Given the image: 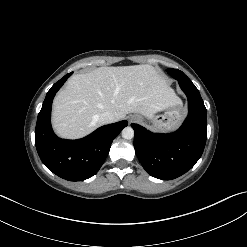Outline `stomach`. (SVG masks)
Instances as JSON below:
<instances>
[{"instance_id": "stomach-1", "label": "stomach", "mask_w": 247, "mask_h": 247, "mask_svg": "<svg viewBox=\"0 0 247 247\" xmlns=\"http://www.w3.org/2000/svg\"><path fill=\"white\" fill-rule=\"evenodd\" d=\"M186 117V109L182 102L179 100L175 104L168 105L163 114L154 115L151 119H148L151 125L149 126L156 132H170L177 129ZM140 121L143 122V118L140 117Z\"/></svg>"}]
</instances>
